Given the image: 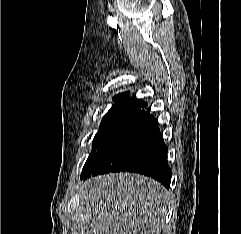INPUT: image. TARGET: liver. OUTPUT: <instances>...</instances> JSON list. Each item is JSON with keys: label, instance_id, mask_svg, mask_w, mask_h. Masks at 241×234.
<instances>
[{"label": "liver", "instance_id": "1", "mask_svg": "<svg viewBox=\"0 0 241 234\" xmlns=\"http://www.w3.org/2000/svg\"><path fill=\"white\" fill-rule=\"evenodd\" d=\"M80 199L92 215L87 234H160L170 193L143 175L110 173L85 181Z\"/></svg>", "mask_w": 241, "mask_h": 234}]
</instances>
